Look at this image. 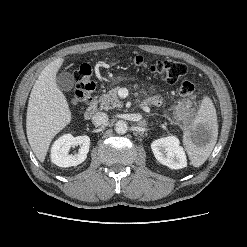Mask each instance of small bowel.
<instances>
[{
    "instance_id": "obj_1",
    "label": "small bowel",
    "mask_w": 247,
    "mask_h": 247,
    "mask_svg": "<svg viewBox=\"0 0 247 247\" xmlns=\"http://www.w3.org/2000/svg\"><path fill=\"white\" fill-rule=\"evenodd\" d=\"M148 102L154 103V104H160L161 98L159 96H154L148 100Z\"/></svg>"
}]
</instances>
